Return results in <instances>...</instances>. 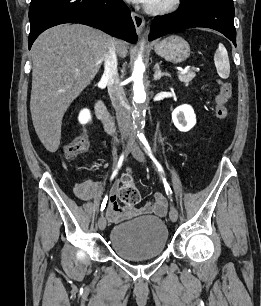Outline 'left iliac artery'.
I'll return each instance as SVG.
<instances>
[{
  "mask_svg": "<svg viewBox=\"0 0 261 306\" xmlns=\"http://www.w3.org/2000/svg\"><path fill=\"white\" fill-rule=\"evenodd\" d=\"M139 139L142 141V143L144 144L145 148H146V152L148 154V156L150 157V159L153 161V163L155 164V166L157 167V169L163 173V169L161 167V165L159 164V162L156 160L155 156L153 155L151 148L146 140V138L144 137L143 134H138ZM164 186H165V190L167 195H171L172 191L170 186L168 185V183L166 182V179L164 178Z\"/></svg>",
  "mask_w": 261,
  "mask_h": 306,
  "instance_id": "44dca946",
  "label": "left iliac artery"
}]
</instances>
